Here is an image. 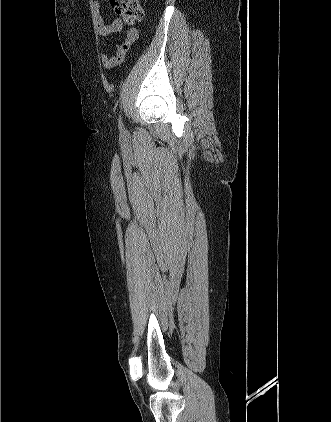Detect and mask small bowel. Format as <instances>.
I'll return each instance as SVG.
<instances>
[{
	"label": "small bowel",
	"instance_id": "c3829d8e",
	"mask_svg": "<svg viewBox=\"0 0 331 422\" xmlns=\"http://www.w3.org/2000/svg\"><path fill=\"white\" fill-rule=\"evenodd\" d=\"M92 5L95 10V27L99 35V43L104 45L109 36L122 30L124 23L121 19L117 18L112 23L106 24L100 13L99 0H93ZM137 37L138 31L134 28L129 29L125 34L123 42L114 45L110 53H104L102 55L103 66L106 69H113L120 65L125 60L128 49L137 40Z\"/></svg>",
	"mask_w": 331,
	"mask_h": 422
}]
</instances>
